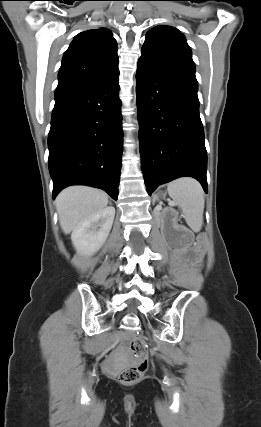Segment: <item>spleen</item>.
I'll return each instance as SVG.
<instances>
[{
    "instance_id": "1",
    "label": "spleen",
    "mask_w": 261,
    "mask_h": 427,
    "mask_svg": "<svg viewBox=\"0 0 261 427\" xmlns=\"http://www.w3.org/2000/svg\"><path fill=\"white\" fill-rule=\"evenodd\" d=\"M169 196L182 210L187 225L199 232L203 225L204 194L199 182L193 178H180L167 186Z\"/></svg>"
}]
</instances>
